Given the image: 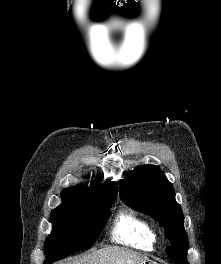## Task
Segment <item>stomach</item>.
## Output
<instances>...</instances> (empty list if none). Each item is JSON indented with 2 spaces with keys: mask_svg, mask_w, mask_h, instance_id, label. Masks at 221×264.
<instances>
[{
  "mask_svg": "<svg viewBox=\"0 0 221 264\" xmlns=\"http://www.w3.org/2000/svg\"><path fill=\"white\" fill-rule=\"evenodd\" d=\"M140 264H158L156 261L147 259V260H143Z\"/></svg>",
  "mask_w": 221,
  "mask_h": 264,
  "instance_id": "obj_1",
  "label": "stomach"
}]
</instances>
